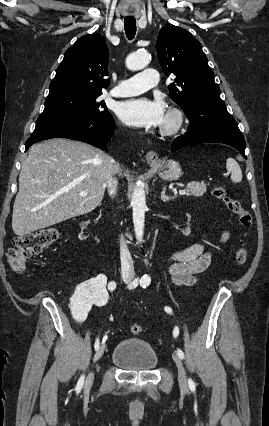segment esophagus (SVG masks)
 <instances>
[{
  "label": "esophagus",
  "mask_w": 269,
  "mask_h": 426,
  "mask_svg": "<svg viewBox=\"0 0 269 426\" xmlns=\"http://www.w3.org/2000/svg\"><path fill=\"white\" fill-rule=\"evenodd\" d=\"M146 160L151 166L156 165L159 161V156L155 151L151 150L146 154Z\"/></svg>",
  "instance_id": "obj_1"
}]
</instances>
